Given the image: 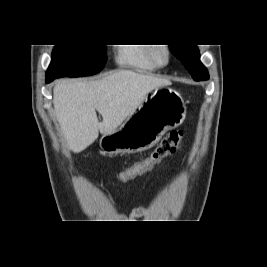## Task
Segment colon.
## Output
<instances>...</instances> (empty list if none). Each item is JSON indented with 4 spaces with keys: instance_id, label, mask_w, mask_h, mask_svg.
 Returning a JSON list of instances; mask_svg holds the SVG:
<instances>
[{
    "instance_id": "obj_1",
    "label": "colon",
    "mask_w": 267,
    "mask_h": 267,
    "mask_svg": "<svg viewBox=\"0 0 267 267\" xmlns=\"http://www.w3.org/2000/svg\"><path fill=\"white\" fill-rule=\"evenodd\" d=\"M183 136L182 130L169 132L147 158L136 162L127 169H121L117 175H112V180H121V184L132 182V178H138V174L151 169L160 160L178 150L181 147Z\"/></svg>"
}]
</instances>
